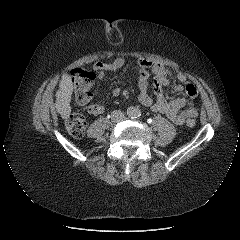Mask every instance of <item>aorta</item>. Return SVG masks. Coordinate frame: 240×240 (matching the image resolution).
<instances>
[{
    "label": "aorta",
    "instance_id": "762f6f07",
    "mask_svg": "<svg viewBox=\"0 0 240 240\" xmlns=\"http://www.w3.org/2000/svg\"><path fill=\"white\" fill-rule=\"evenodd\" d=\"M140 111L138 108L136 107H128L127 109V115L130 118H136L137 116H139Z\"/></svg>",
    "mask_w": 240,
    "mask_h": 240
}]
</instances>
